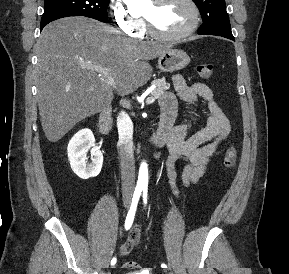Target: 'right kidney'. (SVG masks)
Masks as SVG:
<instances>
[{"label":"right kidney","mask_w":289,"mask_h":274,"mask_svg":"<svg viewBox=\"0 0 289 274\" xmlns=\"http://www.w3.org/2000/svg\"><path fill=\"white\" fill-rule=\"evenodd\" d=\"M91 149V163L87 164L86 155ZM68 159L73 172L81 179L96 177L102 168L103 155L95 144V138L90 129L78 131L69 141Z\"/></svg>","instance_id":"right-kidney-1"}]
</instances>
